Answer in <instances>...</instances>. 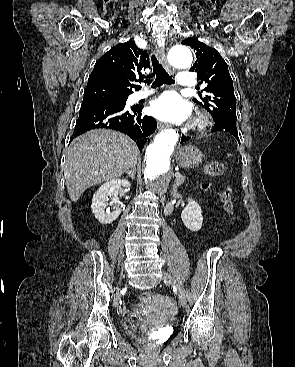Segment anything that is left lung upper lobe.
<instances>
[{
	"mask_svg": "<svg viewBox=\"0 0 295 367\" xmlns=\"http://www.w3.org/2000/svg\"><path fill=\"white\" fill-rule=\"evenodd\" d=\"M182 44L190 46L196 52V61L190 71L198 74L199 84L207 85V95H199L194 101L210 113L214 122H236V98L227 63L216 49L194 37L186 38Z\"/></svg>",
	"mask_w": 295,
	"mask_h": 367,
	"instance_id": "5c2ea615",
	"label": "left lung upper lobe"
}]
</instances>
